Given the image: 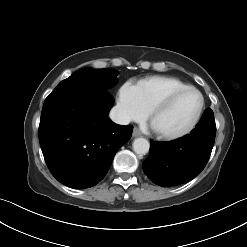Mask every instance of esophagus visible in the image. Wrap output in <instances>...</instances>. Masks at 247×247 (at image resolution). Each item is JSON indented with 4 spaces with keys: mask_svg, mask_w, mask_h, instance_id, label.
<instances>
[{
    "mask_svg": "<svg viewBox=\"0 0 247 247\" xmlns=\"http://www.w3.org/2000/svg\"><path fill=\"white\" fill-rule=\"evenodd\" d=\"M141 135H142L141 131L137 127H135L133 129V137H139Z\"/></svg>",
    "mask_w": 247,
    "mask_h": 247,
    "instance_id": "1",
    "label": "esophagus"
}]
</instances>
